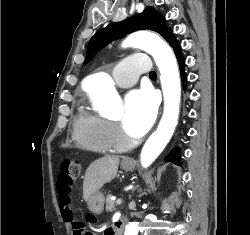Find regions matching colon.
<instances>
[{"label":"colon","mask_w":250,"mask_h":235,"mask_svg":"<svg viewBox=\"0 0 250 235\" xmlns=\"http://www.w3.org/2000/svg\"><path fill=\"white\" fill-rule=\"evenodd\" d=\"M82 164L76 159H65L60 166V173L57 180L58 188L64 192H71L74 181L80 176ZM72 221V219H71ZM75 235H93L85 229L84 224L72 222Z\"/></svg>","instance_id":"colon-1"}]
</instances>
